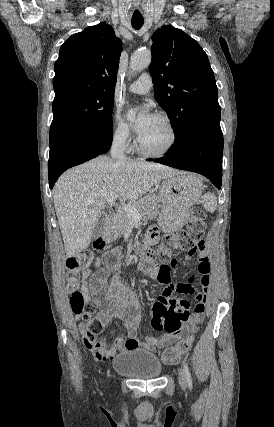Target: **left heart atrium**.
<instances>
[{"mask_svg": "<svg viewBox=\"0 0 274 427\" xmlns=\"http://www.w3.org/2000/svg\"><path fill=\"white\" fill-rule=\"evenodd\" d=\"M137 119L132 125V129L139 136L143 135L154 117L147 108H139L136 110Z\"/></svg>", "mask_w": 274, "mask_h": 427, "instance_id": "1", "label": "left heart atrium"}]
</instances>
